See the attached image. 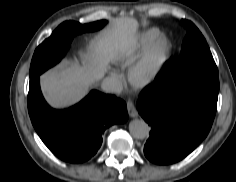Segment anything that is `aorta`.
I'll return each mask as SVG.
<instances>
[{
    "instance_id": "aorta-1",
    "label": "aorta",
    "mask_w": 236,
    "mask_h": 182,
    "mask_svg": "<svg viewBox=\"0 0 236 182\" xmlns=\"http://www.w3.org/2000/svg\"><path fill=\"white\" fill-rule=\"evenodd\" d=\"M129 131L132 137L142 140L149 136L150 127L144 120L134 119L129 123Z\"/></svg>"
}]
</instances>
